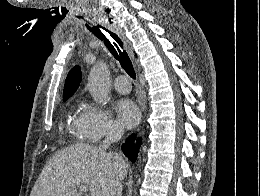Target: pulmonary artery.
Returning a JSON list of instances; mask_svg holds the SVG:
<instances>
[{"label":"pulmonary artery","mask_w":260,"mask_h":196,"mask_svg":"<svg viewBox=\"0 0 260 196\" xmlns=\"http://www.w3.org/2000/svg\"><path fill=\"white\" fill-rule=\"evenodd\" d=\"M111 83L117 84V86H115V89L120 93H128L131 90V85L128 76H115V79H112Z\"/></svg>","instance_id":"e3ab8cb5"}]
</instances>
